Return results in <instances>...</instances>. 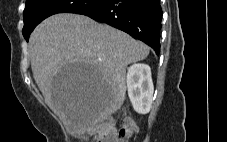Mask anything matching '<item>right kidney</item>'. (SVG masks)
Wrapping results in <instances>:
<instances>
[{
  "label": "right kidney",
  "mask_w": 227,
  "mask_h": 142,
  "mask_svg": "<svg viewBox=\"0 0 227 142\" xmlns=\"http://www.w3.org/2000/svg\"><path fill=\"white\" fill-rule=\"evenodd\" d=\"M126 82L134 110L140 114L148 113L154 92L150 67L146 64H133L128 68Z\"/></svg>",
  "instance_id": "obj_1"
}]
</instances>
